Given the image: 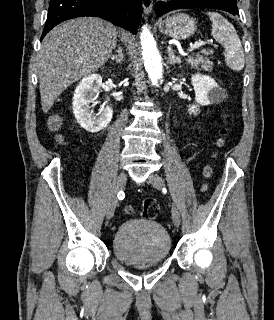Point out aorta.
Here are the masks:
<instances>
[{"label":"aorta","mask_w":274,"mask_h":320,"mask_svg":"<svg viewBox=\"0 0 274 320\" xmlns=\"http://www.w3.org/2000/svg\"><path fill=\"white\" fill-rule=\"evenodd\" d=\"M142 58L145 69L148 73L153 85H158L162 78V60L157 50L156 42L153 35L147 28V25L142 27L141 33Z\"/></svg>","instance_id":"obj_1"}]
</instances>
